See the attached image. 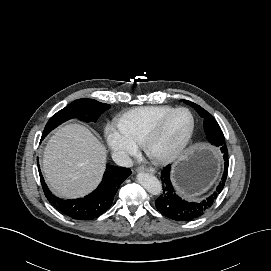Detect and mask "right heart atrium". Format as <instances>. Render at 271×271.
<instances>
[{"mask_svg": "<svg viewBox=\"0 0 271 271\" xmlns=\"http://www.w3.org/2000/svg\"><path fill=\"white\" fill-rule=\"evenodd\" d=\"M105 139L112 152L123 159L134 156L138 151V146L130 140L119 127L108 125L105 128Z\"/></svg>", "mask_w": 271, "mask_h": 271, "instance_id": "d8ad5b80", "label": "right heart atrium"}]
</instances>
